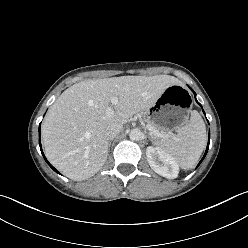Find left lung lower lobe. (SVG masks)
<instances>
[{
	"instance_id": "1",
	"label": "left lung lower lobe",
	"mask_w": 248,
	"mask_h": 248,
	"mask_svg": "<svg viewBox=\"0 0 248 248\" xmlns=\"http://www.w3.org/2000/svg\"><path fill=\"white\" fill-rule=\"evenodd\" d=\"M191 89V88H190ZM192 90V89H191ZM193 91V90H192ZM193 93H194V95L196 96V94H195V92L193 91ZM196 102L198 103V101L196 100ZM199 104V103H198ZM200 105V104H199ZM204 114H205V112H204ZM208 147H209V140H208V146H207V149H206V152H205V154H204V156H203V158H202V160L204 159V157L206 156V154H207V151H208ZM202 160L199 162V164H198V166L200 165V163L202 162ZM197 166V167H198Z\"/></svg>"
}]
</instances>
